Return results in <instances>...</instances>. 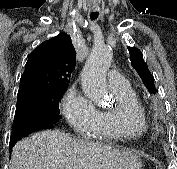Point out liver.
I'll list each match as a JSON object with an SVG mask.
<instances>
[{
    "instance_id": "1",
    "label": "liver",
    "mask_w": 177,
    "mask_h": 169,
    "mask_svg": "<svg viewBox=\"0 0 177 169\" xmlns=\"http://www.w3.org/2000/svg\"><path fill=\"white\" fill-rule=\"evenodd\" d=\"M136 155L94 142L78 141L59 130H46L14 146L10 169H135Z\"/></svg>"
}]
</instances>
